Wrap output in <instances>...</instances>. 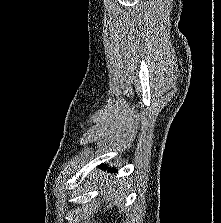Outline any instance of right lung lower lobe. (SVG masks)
Segmentation results:
<instances>
[{
    "label": "right lung lower lobe",
    "instance_id": "obj_1",
    "mask_svg": "<svg viewBox=\"0 0 221 223\" xmlns=\"http://www.w3.org/2000/svg\"><path fill=\"white\" fill-rule=\"evenodd\" d=\"M103 165H101V167H102ZM111 172H114L115 170L114 169H109Z\"/></svg>",
    "mask_w": 221,
    "mask_h": 223
}]
</instances>
